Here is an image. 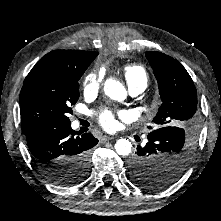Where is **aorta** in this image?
Returning <instances> with one entry per match:
<instances>
[{"label": "aorta", "instance_id": "762f6f07", "mask_svg": "<svg viewBox=\"0 0 221 221\" xmlns=\"http://www.w3.org/2000/svg\"><path fill=\"white\" fill-rule=\"evenodd\" d=\"M105 94L118 101H122L126 97V91L124 86L115 79H108L104 84ZM115 150L120 156H128L132 152V144L128 139H119L115 144Z\"/></svg>", "mask_w": 221, "mask_h": 221}]
</instances>
